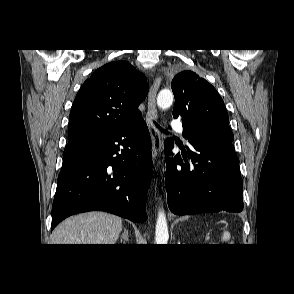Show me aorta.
I'll return each instance as SVG.
<instances>
[{
	"label": "aorta",
	"instance_id": "762f6f07",
	"mask_svg": "<svg viewBox=\"0 0 294 294\" xmlns=\"http://www.w3.org/2000/svg\"><path fill=\"white\" fill-rule=\"evenodd\" d=\"M173 103V93L170 90H161L157 96V105L160 109H168ZM169 239L168 225L163 211H159L155 229V242L166 245Z\"/></svg>",
	"mask_w": 294,
	"mask_h": 294
}]
</instances>
